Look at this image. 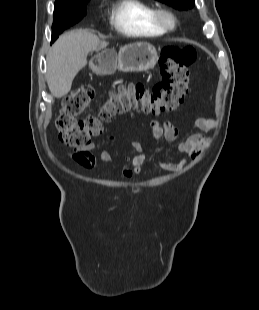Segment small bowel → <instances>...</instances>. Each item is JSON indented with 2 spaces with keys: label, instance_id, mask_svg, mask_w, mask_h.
<instances>
[{
  "label": "small bowel",
  "instance_id": "1",
  "mask_svg": "<svg viewBox=\"0 0 259 310\" xmlns=\"http://www.w3.org/2000/svg\"><path fill=\"white\" fill-rule=\"evenodd\" d=\"M217 121L207 118H197L193 122V127L200 133L190 135L185 141L178 144L177 150L180 153L188 154L192 158H196L200 153L209 147L211 140L203 132L213 131L217 128ZM179 129L169 121H153L150 127L149 138L151 140H166L173 142L178 138ZM104 141L117 147V138L113 135L104 136ZM150 146L147 141L132 140L129 144V149L133 154L127 158L121 168V173L126 179H132L136 175H140L143 167L148 160L147 151ZM95 153H99L96 157ZM113 155L110 149H103L100 142L89 144L85 147L78 148L68 152L69 158L75 161L78 165L86 169L95 168L98 162L108 163ZM160 168L169 171L182 170L187 165V159H182L178 162H163L159 161Z\"/></svg>",
  "mask_w": 259,
  "mask_h": 310
}]
</instances>
